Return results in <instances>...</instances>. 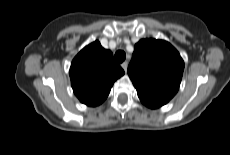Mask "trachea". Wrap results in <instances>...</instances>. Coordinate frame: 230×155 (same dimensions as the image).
Listing matches in <instances>:
<instances>
[{
    "label": "trachea",
    "mask_w": 230,
    "mask_h": 155,
    "mask_svg": "<svg viewBox=\"0 0 230 155\" xmlns=\"http://www.w3.org/2000/svg\"><path fill=\"white\" fill-rule=\"evenodd\" d=\"M126 59V53L122 50H119L115 53V60L118 63H122Z\"/></svg>",
    "instance_id": "trachea-1"
}]
</instances>
